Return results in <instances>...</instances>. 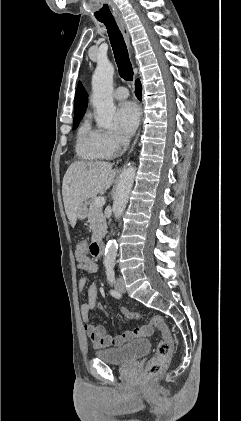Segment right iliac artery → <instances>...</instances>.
<instances>
[{"label":"right iliac artery","instance_id":"82829eb1","mask_svg":"<svg viewBox=\"0 0 241 421\" xmlns=\"http://www.w3.org/2000/svg\"><path fill=\"white\" fill-rule=\"evenodd\" d=\"M111 295L112 296H114L115 298H120L121 297V295L118 293V292H116V291H114V290H111Z\"/></svg>","mask_w":241,"mask_h":421}]
</instances>
